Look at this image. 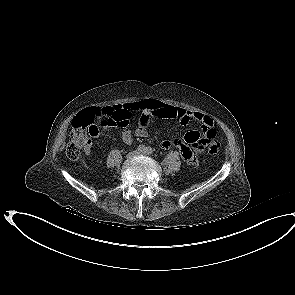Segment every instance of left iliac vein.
Returning a JSON list of instances; mask_svg holds the SVG:
<instances>
[{"label":"left iliac vein","mask_w":295,"mask_h":295,"mask_svg":"<svg viewBox=\"0 0 295 295\" xmlns=\"http://www.w3.org/2000/svg\"><path fill=\"white\" fill-rule=\"evenodd\" d=\"M139 155H145L146 154V152H144V151H140L139 153H138Z\"/></svg>","instance_id":"1"}]
</instances>
